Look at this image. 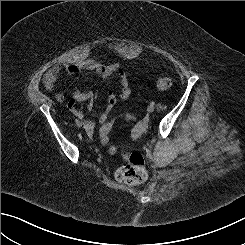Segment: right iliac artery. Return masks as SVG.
<instances>
[{
    "label": "right iliac artery",
    "instance_id": "right-iliac-artery-1",
    "mask_svg": "<svg viewBox=\"0 0 245 245\" xmlns=\"http://www.w3.org/2000/svg\"><path fill=\"white\" fill-rule=\"evenodd\" d=\"M75 123L79 126L80 121L78 119L75 120Z\"/></svg>",
    "mask_w": 245,
    "mask_h": 245
}]
</instances>
